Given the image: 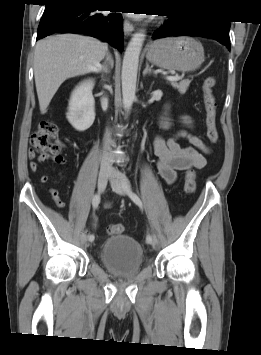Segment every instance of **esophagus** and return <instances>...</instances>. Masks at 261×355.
<instances>
[{"instance_id": "1", "label": "esophagus", "mask_w": 261, "mask_h": 355, "mask_svg": "<svg viewBox=\"0 0 261 355\" xmlns=\"http://www.w3.org/2000/svg\"><path fill=\"white\" fill-rule=\"evenodd\" d=\"M123 29H124V33L126 35H129L134 31V26L128 20H124Z\"/></svg>"}]
</instances>
